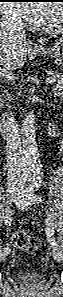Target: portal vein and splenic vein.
Returning <instances> with one entry per match:
<instances>
[{"label": "portal vein and splenic vein", "mask_w": 63, "mask_h": 297, "mask_svg": "<svg viewBox=\"0 0 63 297\" xmlns=\"http://www.w3.org/2000/svg\"><path fill=\"white\" fill-rule=\"evenodd\" d=\"M5 77H7V79H9V80L13 79V76H11V75H8V76H5ZM45 81H46V84H51V83H53L55 80H54L53 77H47Z\"/></svg>", "instance_id": "1"}]
</instances>
